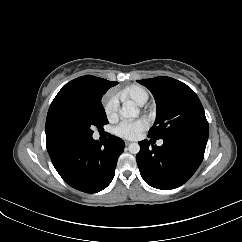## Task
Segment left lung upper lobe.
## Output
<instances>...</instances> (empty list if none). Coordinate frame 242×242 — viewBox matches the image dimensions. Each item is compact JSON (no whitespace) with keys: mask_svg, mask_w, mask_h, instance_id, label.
Segmentation results:
<instances>
[{"mask_svg":"<svg viewBox=\"0 0 242 242\" xmlns=\"http://www.w3.org/2000/svg\"><path fill=\"white\" fill-rule=\"evenodd\" d=\"M153 94L157 114L148 137L172 140L184 137L208 139L209 125L196 93L186 84L166 76L138 80Z\"/></svg>","mask_w":242,"mask_h":242,"instance_id":"left-lung-upper-lobe-1","label":"left lung upper lobe"}]
</instances>
